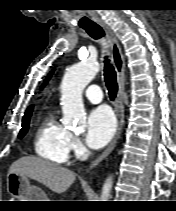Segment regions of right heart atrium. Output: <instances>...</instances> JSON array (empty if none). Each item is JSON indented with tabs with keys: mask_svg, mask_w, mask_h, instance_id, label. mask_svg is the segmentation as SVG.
<instances>
[{
	"mask_svg": "<svg viewBox=\"0 0 176 211\" xmlns=\"http://www.w3.org/2000/svg\"><path fill=\"white\" fill-rule=\"evenodd\" d=\"M70 150L76 155H79L82 152V145L79 139L75 136H71L70 138Z\"/></svg>",
	"mask_w": 176,
	"mask_h": 211,
	"instance_id": "d8ad5b80",
	"label": "right heart atrium"
}]
</instances>
